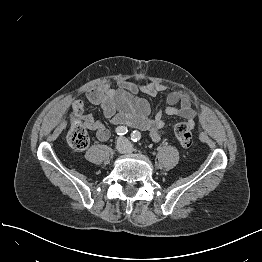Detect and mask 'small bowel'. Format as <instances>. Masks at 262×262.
Instances as JSON below:
<instances>
[{
    "mask_svg": "<svg viewBox=\"0 0 262 262\" xmlns=\"http://www.w3.org/2000/svg\"><path fill=\"white\" fill-rule=\"evenodd\" d=\"M165 89L161 83L149 81H122L118 88L103 84L87 91V100L94 105H101L107 121L115 126H129L148 131L151 139L159 142L167 125L165 116H176L192 126L199 116L193 101L184 91H175L168 96V106L162 111L153 113L151 102L137 95L138 90L150 98H155ZM76 117L82 119L88 129L95 132L99 141L109 139V130L101 120L94 119L85 111L83 101L76 99L72 102Z\"/></svg>",
    "mask_w": 262,
    "mask_h": 262,
    "instance_id": "small-bowel-1",
    "label": "small bowel"
}]
</instances>
